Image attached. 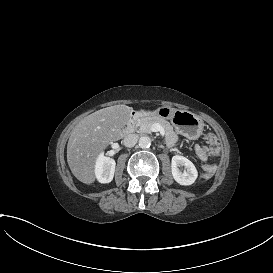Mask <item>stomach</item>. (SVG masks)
<instances>
[{
	"label": "stomach",
	"instance_id": "0dacf381",
	"mask_svg": "<svg viewBox=\"0 0 273 273\" xmlns=\"http://www.w3.org/2000/svg\"><path fill=\"white\" fill-rule=\"evenodd\" d=\"M156 114L163 119H169L177 133L189 140H196L203 134L205 126L203 119L190 111L162 107Z\"/></svg>",
	"mask_w": 273,
	"mask_h": 273
}]
</instances>
